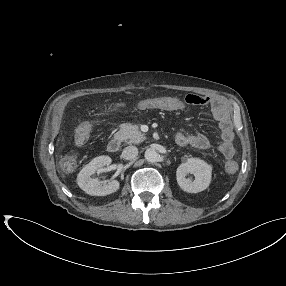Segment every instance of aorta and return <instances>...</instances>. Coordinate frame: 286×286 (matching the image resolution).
<instances>
[{"mask_svg": "<svg viewBox=\"0 0 286 286\" xmlns=\"http://www.w3.org/2000/svg\"><path fill=\"white\" fill-rule=\"evenodd\" d=\"M159 154L155 149L149 148L145 151V159L150 163H155L158 161Z\"/></svg>", "mask_w": 286, "mask_h": 286, "instance_id": "aorta-1", "label": "aorta"}]
</instances>
